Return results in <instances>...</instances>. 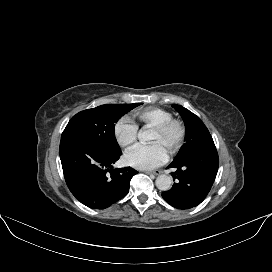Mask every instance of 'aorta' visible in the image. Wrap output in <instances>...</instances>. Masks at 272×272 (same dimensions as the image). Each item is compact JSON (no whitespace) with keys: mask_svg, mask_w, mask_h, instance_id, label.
Listing matches in <instances>:
<instances>
[{"mask_svg":"<svg viewBox=\"0 0 272 272\" xmlns=\"http://www.w3.org/2000/svg\"><path fill=\"white\" fill-rule=\"evenodd\" d=\"M138 138L141 142L147 141L149 139L148 132L144 131L139 133ZM172 185V178L168 175H160L156 179V187L159 190L167 191L171 188Z\"/></svg>","mask_w":272,"mask_h":272,"instance_id":"obj_1","label":"aorta"}]
</instances>
